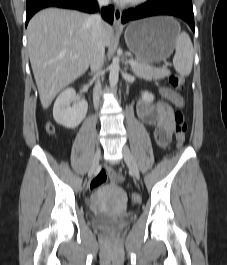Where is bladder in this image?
Segmentation results:
<instances>
[{
  "label": "bladder",
  "instance_id": "1",
  "mask_svg": "<svg viewBox=\"0 0 227 265\" xmlns=\"http://www.w3.org/2000/svg\"><path fill=\"white\" fill-rule=\"evenodd\" d=\"M106 194H112L117 191L114 186H106L102 188ZM91 224L93 227L103 231H116L120 230L126 225V222L122 219H117L112 216L103 213H97L92 216Z\"/></svg>",
  "mask_w": 227,
  "mask_h": 265
}]
</instances>
